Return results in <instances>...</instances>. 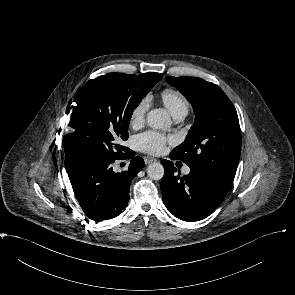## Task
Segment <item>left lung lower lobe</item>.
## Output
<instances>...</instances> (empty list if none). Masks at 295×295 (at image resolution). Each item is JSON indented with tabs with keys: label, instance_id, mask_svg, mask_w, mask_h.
I'll return each instance as SVG.
<instances>
[{
	"label": "left lung lower lobe",
	"instance_id": "obj_1",
	"mask_svg": "<svg viewBox=\"0 0 295 295\" xmlns=\"http://www.w3.org/2000/svg\"><path fill=\"white\" fill-rule=\"evenodd\" d=\"M170 158H175L170 154ZM165 173L161 181V192L166 208L184 221H199L212 214L223 202L230 189L211 175L191 170L179 176L169 160H162Z\"/></svg>",
	"mask_w": 295,
	"mask_h": 295
}]
</instances>
